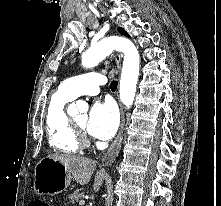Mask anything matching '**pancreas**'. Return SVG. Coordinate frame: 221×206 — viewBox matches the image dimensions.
Returning <instances> with one entry per match:
<instances>
[{
	"label": "pancreas",
	"instance_id": "pancreas-1",
	"mask_svg": "<svg viewBox=\"0 0 221 206\" xmlns=\"http://www.w3.org/2000/svg\"><path fill=\"white\" fill-rule=\"evenodd\" d=\"M84 194L79 192V190L75 191L69 196V199L73 203H79L80 206H83L85 201L83 200Z\"/></svg>",
	"mask_w": 221,
	"mask_h": 206
}]
</instances>
